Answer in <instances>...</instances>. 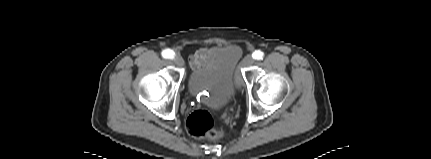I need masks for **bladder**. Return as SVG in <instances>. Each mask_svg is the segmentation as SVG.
Masks as SVG:
<instances>
[{
    "instance_id": "31cf9c89",
    "label": "bladder",
    "mask_w": 431,
    "mask_h": 159,
    "mask_svg": "<svg viewBox=\"0 0 431 159\" xmlns=\"http://www.w3.org/2000/svg\"><path fill=\"white\" fill-rule=\"evenodd\" d=\"M241 49L228 45L212 49L210 58L188 77V91L194 98L212 109H223L232 101L236 91L235 70Z\"/></svg>"
}]
</instances>
